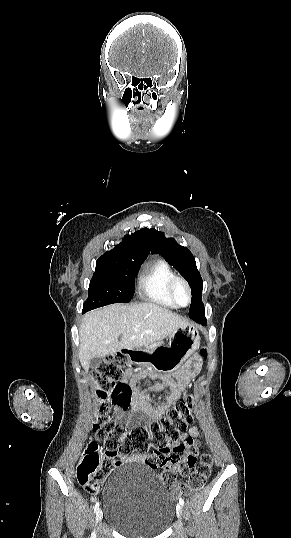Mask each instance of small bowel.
Returning a JSON list of instances; mask_svg holds the SVG:
<instances>
[{
  "mask_svg": "<svg viewBox=\"0 0 291 538\" xmlns=\"http://www.w3.org/2000/svg\"><path fill=\"white\" fill-rule=\"evenodd\" d=\"M202 370L201 362L197 354H188L186 363H178L176 369H173L171 376L164 375L160 382L154 383L145 390L139 387L140 382L145 380H154L155 377H147L143 374L134 375L132 370H127L122 378V383L127 384L132 392V402L130 412L123 411L118 405H114L113 412L116 420L130 427L134 422L143 418L150 420L161 417L175 402L181 397L183 392L188 388L190 382L196 376H199ZM150 392L164 393V402L154 404L149 398ZM199 431L196 426H192L187 433H182L179 437L181 444H184L187 451L197 455ZM150 456L132 455L120 456L123 463H141L152 469L158 467L151 466L148 463ZM176 470L181 475L187 474L190 468L183 464L178 465Z\"/></svg>",
  "mask_w": 291,
  "mask_h": 538,
  "instance_id": "1",
  "label": "small bowel"
}]
</instances>
